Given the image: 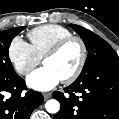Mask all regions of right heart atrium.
<instances>
[{
	"label": "right heart atrium",
	"instance_id": "right-heart-atrium-1",
	"mask_svg": "<svg viewBox=\"0 0 119 119\" xmlns=\"http://www.w3.org/2000/svg\"><path fill=\"white\" fill-rule=\"evenodd\" d=\"M8 57L14 70L21 76L29 75L40 63L31 45L20 36H16L8 47Z\"/></svg>",
	"mask_w": 119,
	"mask_h": 119
}]
</instances>
